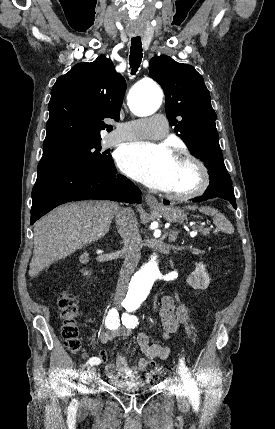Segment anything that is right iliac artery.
I'll return each mask as SVG.
<instances>
[{"mask_svg":"<svg viewBox=\"0 0 275 429\" xmlns=\"http://www.w3.org/2000/svg\"><path fill=\"white\" fill-rule=\"evenodd\" d=\"M105 325L108 329H117L120 326L119 314L115 308H112L106 317ZM87 364L98 365L100 359L98 357H92L88 360Z\"/></svg>","mask_w":275,"mask_h":429,"instance_id":"82829eb1","label":"right iliac artery"}]
</instances>
